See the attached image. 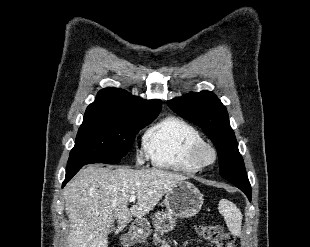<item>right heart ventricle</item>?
Returning a JSON list of instances; mask_svg holds the SVG:
<instances>
[{"instance_id":"1","label":"right heart ventricle","mask_w":310,"mask_h":247,"mask_svg":"<svg viewBox=\"0 0 310 247\" xmlns=\"http://www.w3.org/2000/svg\"><path fill=\"white\" fill-rule=\"evenodd\" d=\"M203 141L200 132L176 116H167L153 124L143 137L144 150L156 167L182 173L199 169L189 159L190 148Z\"/></svg>"}]
</instances>
